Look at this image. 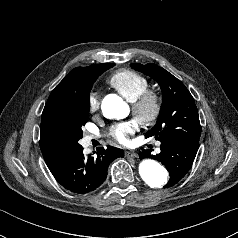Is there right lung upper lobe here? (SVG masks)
Wrapping results in <instances>:
<instances>
[{
  "label": "right lung upper lobe",
  "instance_id": "cb5924a9",
  "mask_svg": "<svg viewBox=\"0 0 238 238\" xmlns=\"http://www.w3.org/2000/svg\"><path fill=\"white\" fill-rule=\"evenodd\" d=\"M93 66L74 68L51 92L42 114L53 103L66 96L73 88L75 80L83 73L92 69ZM40 148L47 166L61 160L73 150L62 141L46 133L42 125L40 128Z\"/></svg>",
  "mask_w": 238,
  "mask_h": 238
}]
</instances>
